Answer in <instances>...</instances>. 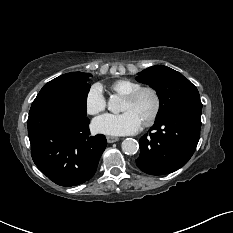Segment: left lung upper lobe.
Here are the masks:
<instances>
[{
    "label": "left lung upper lobe",
    "mask_w": 233,
    "mask_h": 233,
    "mask_svg": "<svg viewBox=\"0 0 233 233\" xmlns=\"http://www.w3.org/2000/svg\"><path fill=\"white\" fill-rule=\"evenodd\" d=\"M136 79L156 90L160 99L157 118L179 109H202L197 88L181 73L169 67L163 65L149 67L138 73Z\"/></svg>",
    "instance_id": "1"
}]
</instances>
